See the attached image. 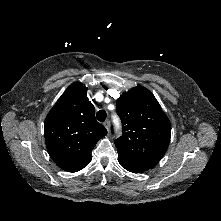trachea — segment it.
I'll return each mask as SVG.
<instances>
[{
    "instance_id": "3493384b",
    "label": "trachea",
    "mask_w": 221,
    "mask_h": 221,
    "mask_svg": "<svg viewBox=\"0 0 221 221\" xmlns=\"http://www.w3.org/2000/svg\"><path fill=\"white\" fill-rule=\"evenodd\" d=\"M96 117L98 121L103 122L107 117V113L105 110H99L96 114Z\"/></svg>"
}]
</instances>
